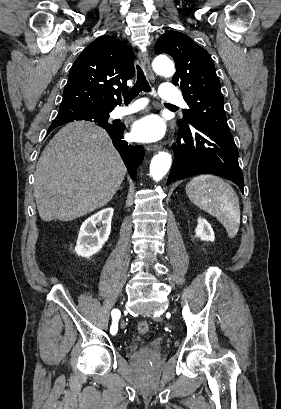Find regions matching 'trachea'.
<instances>
[{"label": "trachea", "mask_w": 281, "mask_h": 409, "mask_svg": "<svg viewBox=\"0 0 281 409\" xmlns=\"http://www.w3.org/2000/svg\"><path fill=\"white\" fill-rule=\"evenodd\" d=\"M150 91H151V87L145 77V74L142 68L139 65H137V81L132 88H130L129 90H126V92H123L124 102L130 103L132 100H134L139 95L140 92H150Z\"/></svg>", "instance_id": "3493384b"}]
</instances>
